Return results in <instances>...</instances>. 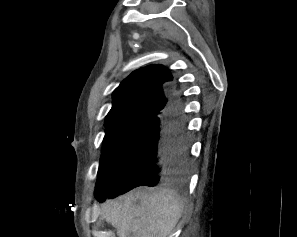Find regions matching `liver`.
Masks as SVG:
<instances>
[{"label":"liver","mask_w":297,"mask_h":237,"mask_svg":"<svg viewBox=\"0 0 297 237\" xmlns=\"http://www.w3.org/2000/svg\"><path fill=\"white\" fill-rule=\"evenodd\" d=\"M101 209L118 237H170L182 216L184 201L169 189L143 188L107 200Z\"/></svg>","instance_id":"liver-1"}]
</instances>
